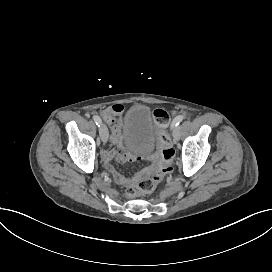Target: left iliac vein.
<instances>
[{"mask_svg":"<svg viewBox=\"0 0 272 272\" xmlns=\"http://www.w3.org/2000/svg\"><path fill=\"white\" fill-rule=\"evenodd\" d=\"M173 137L175 139H179L180 138V131H179V127H175L173 130Z\"/></svg>","mask_w":272,"mask_h":272,"instance_id":"left-iliac-vein-1","label":"left iliac vein"}]
</instances>
